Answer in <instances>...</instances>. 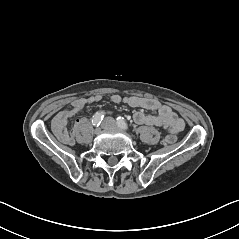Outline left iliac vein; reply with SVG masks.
Wrapping results in <instances>:
<instances>
[{
	"label": "left iliac vein",
	"mask_w": 239,
	"mask_h": 239,
	"mask_svg": "<svg viewBox=\"0 0 239 239\" xmlns=\"http://www.w3.org/2000/svg\"><path fill=\"white\" fill-rule=\"evenodd\" d=\"M105 121H107L110 124V127H115L116 123L112 118H107Z\"/></svg>",
	"instance_id": "left-iliac-vein-1"
}]
</instances>
